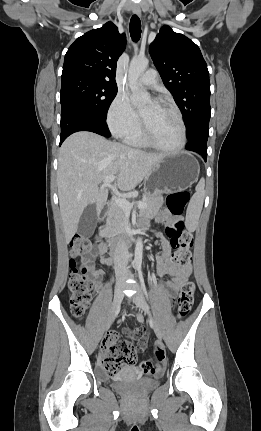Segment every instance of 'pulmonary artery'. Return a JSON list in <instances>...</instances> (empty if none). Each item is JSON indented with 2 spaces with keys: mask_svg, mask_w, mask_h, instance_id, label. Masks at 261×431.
Masks as SVG:
<instances>
[{
  "mask_svg": "<svg viewBox=\"0 0 261 431\" xmlns=\"http://www.w3.org/2000/svg\"><path fill=\"white\" fill-rule=\"evenodd\" d=\"M139 83L146 87H152L158 82L157 71L154 69L147 70L140 78Z\"/></svg>",
  "mask_w": 261,
  "mask_h": 431,
  "instance_id": "1",
  "label": "pulmonary artery"
}]
</instances>
